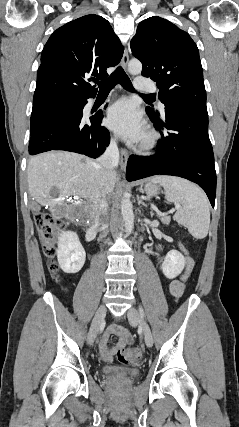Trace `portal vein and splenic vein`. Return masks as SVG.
<instances>
[{"instance_id": "1", "label": "portal vein and splenic vein", "mask_w": 239, "mask_h": 427, "mask_svg": "<svg viewBox=\"0 0 239 427\" xmlns=\"http://www.w3.org/2000/svg\"><path fill=\"white\" fill-rule=\"evenodd\" d=\"M176 209L178 208V206L175 207ZM159 215H162L161 213H159Z\"/></svg>"}]
</instances>
